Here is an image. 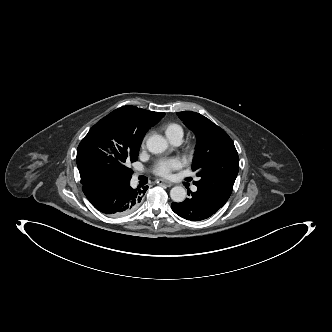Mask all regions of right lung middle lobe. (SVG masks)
<instances>
[{"instance_id":"1","label":"right lung middle lobe","mask_w":332,"mask_h":332,"mask_svg":"<svg viewBox=\"0 0 332 332\" xmlns=\"http://www.w3.org/2000/svg\"><path fill=\"white\" fill-rule=\"evenodd\" d=\"M153 125L137 123L119 108L102 118L77 149L81 183L95 177L131 178L133 171L127 165L137 161L142 139Z\"/></svg>"}]
</instances>
